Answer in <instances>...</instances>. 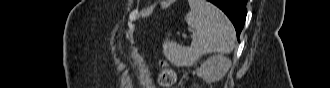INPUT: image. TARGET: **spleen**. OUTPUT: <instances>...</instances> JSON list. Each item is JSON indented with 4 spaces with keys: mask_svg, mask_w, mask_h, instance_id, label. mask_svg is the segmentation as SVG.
<instances>
[{
    "mask_svg": "<svg viewBox=\"0 0 330 88\" xmlns=\"http://www.w3.org/2000/svg\"><path fill=\"white\" fill-rule=\"evenodd\" d=\"M190 11L185 16L187 24L195 30L190 47H182L166 39L163 43L165 57L177 66H191L208 53L227 54L235 46V30L226 15L206 0H188Z\"/></svg>",
    "mask_w": 330,
    "mask_h": 88,
    "instance_id": "spleen-1",
    "label": "spleen"
}]
</instances>
